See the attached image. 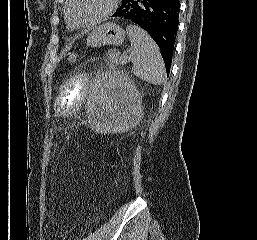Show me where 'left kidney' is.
I'll return each instance as SVG.
<instances>
[{
    "label": "left kidney",
    "instance_id": "1",
    "mask_svg": "<svg viewBox=\"0 0 257 240\" xmlns=\"http://www.w3.org/2000/svg\"><path fill=\"white\" fill-rule=\"evenodd\" d=\"M91 128L98 133H124L143 115L142 98L132 80L123 72L98 75L88 98Z\"/></svg>",
    "mask_w": 257,
    "mask_h": 240
}]
</instances>
